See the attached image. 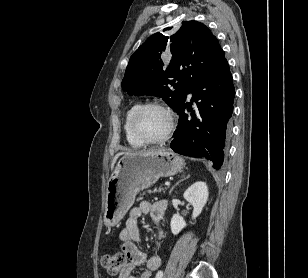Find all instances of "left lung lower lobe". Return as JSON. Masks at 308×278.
<instances>
[{
    "label": "left lung lower lobe",
    "mask_w": 308,
    "mask_h": 278,
    "mask_svg": "<svg viewBox=\"0 0 308 278\" xmlns=\"http://www.w3.org/2000/svg\"><path fill=\"white\" fill-rule=\"evenodd\" d=\"M192 93L191 104L185 102L176 110L179 114L175 138L170 147L177 153L206 158L220 169L231 130V116L235 89L227 60L203 76L188 91ZM186 100V99H185ZM188 109L190 115L184 113Z\"/></svg>",
    "instance_id": "left-lung-lower-lobe-1"
}]
</instances>
